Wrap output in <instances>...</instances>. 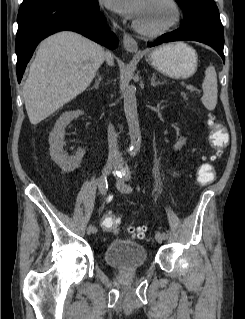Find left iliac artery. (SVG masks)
<instances>
[{
    "label": "left iliac artery",
    "mask_w": 245,
    "mask_h": 319,
    "mask_svg": "<svg viewBox=\"0 0 245 319\" xmlns=\"http://www.w3.org/2000/svg\"><path fill=\"white\" fill-rule=\"evenodd\" d=\"M123 190H125V191H132V187L130 186V185H128V184H123ZM162 235L165 237V238H167L168 237V234L167 233H165V232H163L162 233Z\"/></svg>",
    "instance_id": "44dca946"
}]
</instances>
